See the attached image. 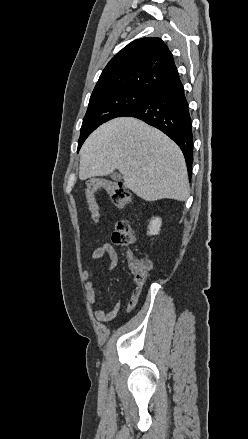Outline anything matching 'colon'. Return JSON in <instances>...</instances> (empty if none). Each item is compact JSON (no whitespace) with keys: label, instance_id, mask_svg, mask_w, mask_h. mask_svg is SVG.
Returning a JSON list of instances; mask_svg holds the SVG:
<instances>
[{"label":"colon","instance_id":"colon-1","mask_svg":"<svg viewBox=\"0 0 248 439\" xmlns=\"http://www.w3.org/2000/svg\"><path fill=\"white\" fill-rule=\"evenodd\" d=\"M99 190H105L112 202L119 208H124L131 202V194L122 182L103 178L89 179L86 182L85 200L87 210L95 222H98L100 219V208L95 196ZM112 241L117 245L123 246L134 243L135 237L129 222L126 220L117 222L112 234ZM129 265L134 275L135 283L138 286H142L151 269V262L147 259H130Z\"/></svg>","mask_w":248,"mask_h":439}]
</instances>
